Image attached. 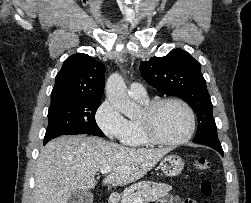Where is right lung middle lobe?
I'll return each instance as SVG.
<instances>
[{"label":"right lung middle lobe","instance_id":"right-lung-middle-lobe-1","mask_svg":"<svg viewBox=\"0 0 251 203\" xmlns=\"http://www.w3.org/2000/svg\"><path fill=\"white\" fill-rule=\"evenodd\" d=\"M100 102L101 99L76 100L50 107L44 144L56 136L65 134L103 136L95 121V113Z\"/></svg>","mask_w":251,"mask_h":203}]
</instances>
